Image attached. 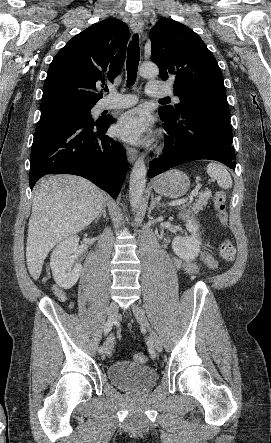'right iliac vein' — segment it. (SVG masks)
Returning <instances> with one entry per match:
<instances>
[{"mask_svg": "<svg viewBox=\"0 0 271 443\" xmlns=\"http://www.w3.org/2000/svg\"><path fill=\"white\" fill-rule=\"evenodd\" d=\"M118 311V305L112 302L108 308V319H114ZM114 347L113 338L110 336L105 342V354L110 355Z\"/></svg>", "mask_w": 271, "mask_h": 443, "instance_id": "63e3f726", "label": "right iliac vein"}]
</instances>
